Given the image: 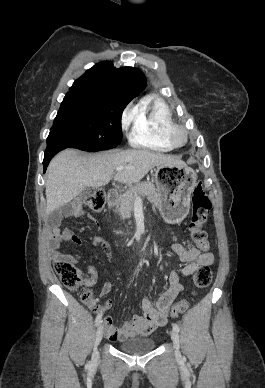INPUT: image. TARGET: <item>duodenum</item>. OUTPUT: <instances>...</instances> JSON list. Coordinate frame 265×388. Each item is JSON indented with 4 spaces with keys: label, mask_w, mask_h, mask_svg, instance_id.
<instances>
[{
    "label": "duodenum",
    "mask_w": 265,
    "mask_h": 388,
    "mask_svg": "<svg viewBox=\"0 0 265 388\" xmlns=\"http://www.w3.org/2000/svg\"><path fill=\"white\" fill-rule=\"evenodd\" d=\"M119 199H120V194L117 190L111 189L108 192L107 201L109 206H115L118 203Z\"/></svg>",
    "instance_id": "duodenum-1"
}]
</instances>
